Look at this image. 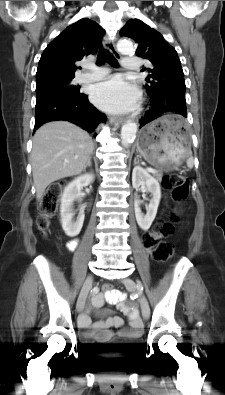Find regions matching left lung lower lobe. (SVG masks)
Returning <instances> with one entry per match:
<instances>
[{
    "label": "left lung lower lobe",
    "instance_id": "1",
    "mask_svg": "<svg viewBox=\"0 0 225 395\" xmlns=\"http://www.w3.org/2000/svg\"><path fill=\"white\" fill-rule=\"evenodd\" d=\"M150 97L151 108L141 119L140 128L166 112H173L183 117L187 116L185 95L176 93L169 96L150 95Z\"/></svg>",
    "mask_w": 225,
    "mask_h": 395
}]
</instances>
